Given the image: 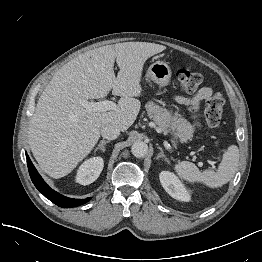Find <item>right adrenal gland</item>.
<instances>
[{
	"mask_svg": "<svg viewBox=\"0 0 262 262\" xmlns=\"http://www.w3.org/2000/svg\"><path fill=\"white\" fill-rule=\"evenodd\" d=\"M110 140H102L100 141V143L98 144V147L95 149V151H97L98 149L102 150V152L105 151V144L109 143Z\"/></svg>",
	"mask_w": 262,
	"mask_h": 262,
	"instance_id": "right-adrenal-gland-1",
	"label": "right adrenal gland"
}]
</instances>
